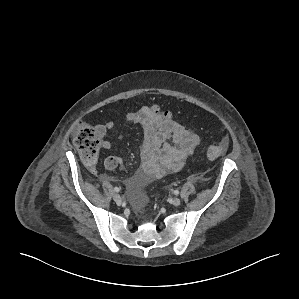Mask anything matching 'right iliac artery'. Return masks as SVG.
<instances>
[{
	"label": "right iliac artery",
	"mask_w": 299,
	"mask_h": 299,
	"mask_svg": "<svg viewBox=\"0 0 299 299\" xmlns=\"http://www.w3.org/2000/svg\"><path fill=\"white\" fill-rule=\"evenodd\" d=\"M114 191L119 192V191H120V188L115 187V188H114Z\"/></svg>",
	"instance_id": "82829eb1"
}]
</instances>
